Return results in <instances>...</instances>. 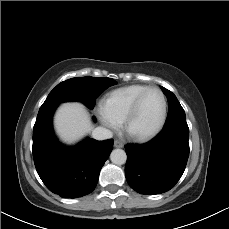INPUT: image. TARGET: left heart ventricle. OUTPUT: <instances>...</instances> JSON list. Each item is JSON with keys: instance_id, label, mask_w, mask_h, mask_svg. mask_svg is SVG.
<instances>
[{"instance_id": "1", "label": "left heart ventricle", "mask_w": 229, "mask_h": 229, "mask_svg": "<svg viewBox=\"0 0 229 229\" xmlns=\"http://www.w3.org/2000/svg\"><path fill=\"white\" fill-rule=\"evenodd\" d=\"M163 108L162 97L158 92H149L141 101L131 123L132 132L140 134L152 130L160 120Z\"/></svg>"}]
</instances>
